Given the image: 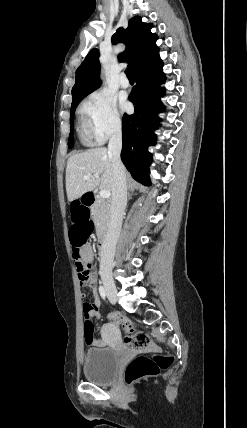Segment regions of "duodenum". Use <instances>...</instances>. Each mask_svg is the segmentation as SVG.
Masks as SVG:
<instances>
[{
    "instance_id": "410a0bca",
    "label": "duodenum",
    "mask_w": 247,
    "mask_h": 428,
    "mask_svg": "<svg viewBox=\"0 0 247 428\" xmlns=\"http://www.w3.org/2000/svg\"><path fill=\"white\" fill-rule=\"evenodd\" d=\"M95 201V196L92 192H88L85 194V204H90V206L93 205ZM107 235L106 234H102L99 239H98V243H97V247L98 250L100 252H104L107 246Z\"/></svg>"
}]
</instances>
